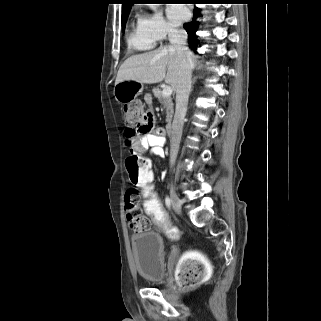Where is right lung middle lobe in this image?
Instances as JSON below:
<instances>
[{
    "label": "right lung middle lobe",
    "mask_w": 321,
    "mask_h": 321,
    "mask_svg": "<svg viewBox=\"0 0 321 321\" xmlns=\"http://www.w3.org/2000/svg\"><path fill=\"white\" fill-rule=\"evenodd\" d=\"M128 14H129V12H127V13L122 15V28H123V30L125 28V24H126V21H127V18H128Z\"/></svg>",
    "instance_id": "dd1d6c3e"
}]
</instances>
